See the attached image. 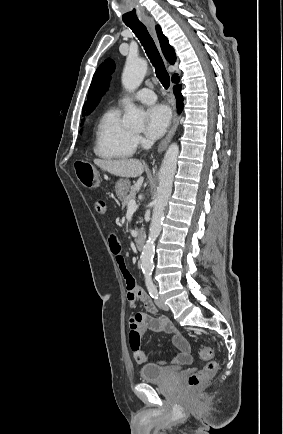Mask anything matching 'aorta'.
<instances>
[{
    "mask_svg": "<svg viewBox=\"0 0 283 434\" xmlns=\"http://www.w3.org/2000/svg\"><path fill=\"white\" fill-rule=\"evenodd\" d=\"M148 64L141 58H128L122 73V84L129 92L135 91L142 83ZM145 113L134 104H129L123 117V125L126 128L141 130L144 127ZM179 147L172 143L165 153L160 171L157 197L153 208L152 220L149 228L148 239L143 247L140 257L141 268L145 276H150L153 271V257L155 253V241L159 236L164 219L165 207L172 192L173 179L176 172Z\"/></svg>",
    "mask_w": 283,
    "mask_h": 434,
    "instance_id": "762f6f07",
    "label": "aorta"
}]
</instances>
